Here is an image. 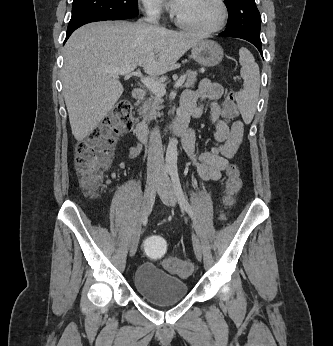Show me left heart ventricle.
<instances>
[{
	"label": "left heart ventricle",
	"mask_w": 333,
	"mask_h": 346,
	"mask_svg": "<svg viewBox=\"0 0 333 346\" xmlns=\"http://www.w3.org/2000/svg\"><path fill=\"white\" fill-rule=\"evenodd\" d=\"M177 14L185 21L199 27H211L220 18L216 0H185Z\"/></svg>",
	"instance_id": "b2bd125f"
}]
</instances>
